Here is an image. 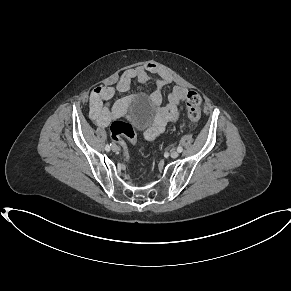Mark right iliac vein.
I'll return each mask as SVG.
<instances>
[{"mask_svg":"<svg viewBox=\"0 0 291 291\" xmlns=\"http://www.w3.org/2000/svg\"><path fill=\"white\" fill-rule=\"evenodd\" d=\"M112 151L113 152H118L119 151V147L116 144L112 145Z\"/></svg>","mask_w":291,"mask_h":291,"instance_id":"right-iliac-vein-1","label":"right iliac vein"}]
</instances>
